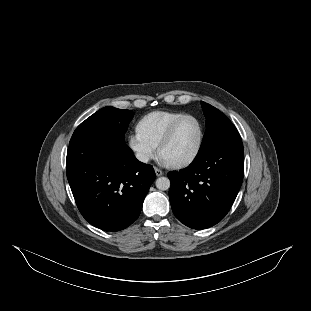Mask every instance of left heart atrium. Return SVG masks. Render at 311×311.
I'll return each mask as SVG.
<instances>
[{"label":"left heart atrium","mask_w":311,"mask_h":311,"mask_svg":"<svg viewBox=\"0 0 311 311\" xmlns=\"http://www.w3.org/2000/svg\"><path fill=\"white\" fill-rule=\"evenodd\" d=\"M161 160H162L164 163H166L162 158H161Z\"/></svg>","instance_id":"39dd6f15"}]
</instances>
